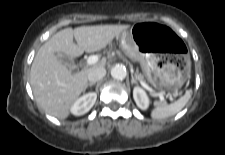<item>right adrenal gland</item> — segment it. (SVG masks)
Segmentation results:
<instances>
[{"label": "right adrenal gland", "instance_id": "obj_1", "mask_svg": "<svg viewBox=\"0 0 225 155\" xmlns=\"http://www.w3.org/2000/svg\"><path fill=\"white\" fill-rule=\"evenodd\" d=\"M93 85H95V82H93V83H88L87 86H86V88H87L88 86L91 87V86H93Z\"/></svg>", "mask_w": 225, "mask_h": 155}]
</instances>
